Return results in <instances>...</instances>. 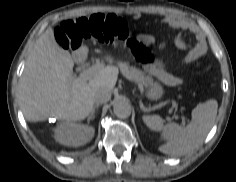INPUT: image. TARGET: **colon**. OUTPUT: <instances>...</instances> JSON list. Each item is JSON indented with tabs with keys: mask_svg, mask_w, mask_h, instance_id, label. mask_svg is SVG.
Masks as SVG:
<instances>
[{
	"mask_svg": "<svg viewBox=\"0 0 236 182\" xmlns=\"http://www.w3.org/2000/svg\"><path fill=\"white\" fill-rule=\"evenodd\" d=\"M56 40L65 49H77L87 39L112 43L129 36L126 23L114 16L94 14L61 22L56 28Z\"/></svg>",
	"mask_w": 236,
	"mask_h": 182,
	"instance_id": "1",
	"label": "colon"
}]
</instances>
